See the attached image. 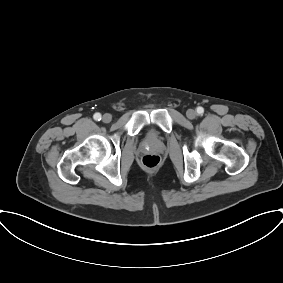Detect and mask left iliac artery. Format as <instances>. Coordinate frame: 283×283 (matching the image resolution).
Returning a JSON list of instances; mask_svg holds the SVG:
<instances>
[{
    "label": "left iliac artery",
    "instance_id": "1",
    "mask_svg": "<svg viewBox=\"0 0 283 283\" xmlns=\"http://www.w3.org/2000/svg\"><path fill=\"white\" fill-rule=\"evenodd\" d=\"M203 112H204L203 107H198V108H197V113H198L199 115H202Z\"/></svg>",
    "mask_w": 283,
    "mask_h": 283
}]
</instances>
